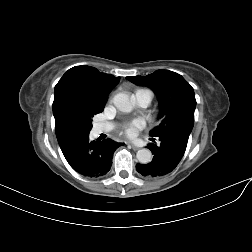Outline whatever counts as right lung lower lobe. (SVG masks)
I'll list each match as a JSON object with an SVG mask.
<instances>
[{
    "label": "right lung lower lobe",
    "instance_id": "1",
    "mask_svg": "<svg viewBox=\"0 0 252 252\" xmlns=\"http://www.w3.org/2000/svg\"><path fill=\"white\" fill-rule=\"evenodd\" d=\"M124 143L110 139L90 141L89 134H81L61 146L64 157L79 174L97 178L105 175L112 165V154Z\"/></svg>",
    "mask_w": 252,
    "mask_h": 252
}]
</instances>
